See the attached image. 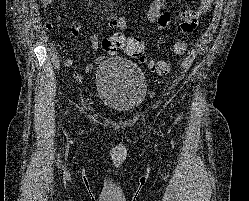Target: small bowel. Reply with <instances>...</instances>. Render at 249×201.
<instances>
[{
	"label": "small bowel",
	"instance_id": "obj_1",
	"mask_svg": "<svg viewBox=\"0 0 249 201\" xmlns=\"http://www.w3.org/2000/svg\"><path fill=\"white\" fill-rule=\"evenodd\" d=\"M44 3L49 4L52 0H43ZM215 0H200L199 5L196 9L186 10L180 13L177 17H173V15L165 10L166 0H153L151 5L147 11V20L150 24H152L156 29L162 30L167 28L174 20L178 22L177 30L180 33H189L195 29L198 25L200 18L205 15L212 7ZM44 28L48 31L54 28V24L52 22H45ZM106 29L110 30H119L120 32H124L127 28L126 17L120 18H111L108 20L106 24ZM71 34L74 37H78L80 34V26L77 23H73L69 27ZM120 36H124L122 33H116ZM99 33H95L91 36L90 45L92 49H97L99 46ZM104 60V56L100 55L96 59V64L101 63ZM64 65L67 68L73 66V61L71 59H65ZM94 64H87L85 66V71L90 73L94 70ZM75 79H80V74L75 72L73 74Z\"/></svg>",
	"mask_w": 249,
	"mask_h": 201
}]
</instances>
